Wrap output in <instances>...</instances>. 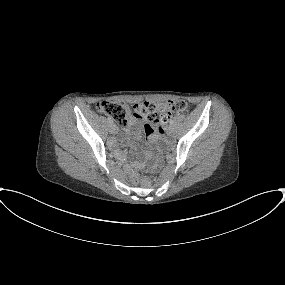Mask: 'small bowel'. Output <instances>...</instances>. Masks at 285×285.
<instances>
[{"mask_svg":"<svg viewBox=\"0 0 285 285\" xmlns=\"http://www.w3.org/2000/svg\"><path fill=\"white\" fill-rule=\"evenodd\" d=\"M142 131H144L147 136L154 138L161 129L156 122L142 124L138 119L132 118L129 122L127 132L132 133L139 138ZM112 144L113 141H110V145Z\"/></svg>","mask_w":285,"mask_h":285,"instance_id":"obj_1","label":"small bowel"}]
</instances>
